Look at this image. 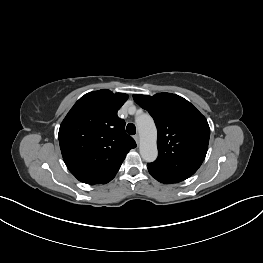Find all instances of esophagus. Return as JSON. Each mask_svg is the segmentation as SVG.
<instances>
[{"instance_id": "obj_1", "label": "esophagus", "mask_w": 263, "mask_h": 263, "mask_svg": "<svg viewBox=\"0 0 263 263\" xmlns=\"http://www.w3.org/2000/svg\"><path fill=\"white\" fill-rule=\"evenodd\" d=\"M134 139H135V141H136L137 145H139V142H140V137H139V135H138V134H136V135L134 136Z\"/></svg>"}]
</instances>
